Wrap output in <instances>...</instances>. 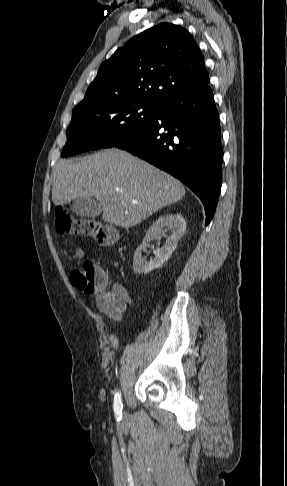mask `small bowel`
I'll list each match as a JSON object with an SVG mask.
<instances>
[{
  "mask_svg": "<svg viewBox=\"0 0 287 486\" xmlns=\"http://www.w3.org/2000/svg\"><path fill=\"white\" fill-rule=\"evenodd\" d=\"M84 252L81 248L75 250V258L81 260ZM111 299L97 296L95 302L102 313L114 320H121L132 300L127 289L120 283L114 282L110 287Z\"/></svg>",
  "mask_w": 287,
  "mask_h": 486,
  "instance_id": "small-bowel-1",
  "label": "small bowel"
}]
</instances>
